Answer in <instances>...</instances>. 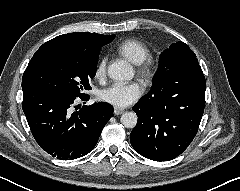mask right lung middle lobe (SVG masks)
Returning a JSON list of instances; mask_svg holds the SVG:
<instances>
[{
  "label": "right lung middle lobe",
  "instance_id": "obj_1",
  "mask_svg": "<svg viewBox=\"0 0 240 191\" xmlns=\"http://www.w3.org/2000/svg\"><path fill=\"white\" fill-rule=\"evenodd\" d=\"M99 54L71 53L59 49L37 50L23 77L22 89L44 88L70 97H83L91 89Z\"/></svg>",
  "mask_w": 240,
  "mask_h": 191
}]
</instances>
